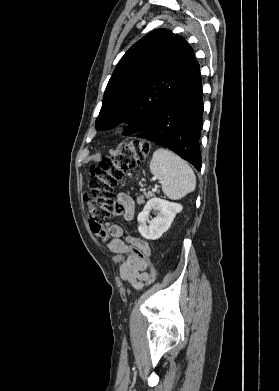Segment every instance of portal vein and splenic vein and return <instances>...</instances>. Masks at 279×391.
Segmentation results:
<instances>
[{"label": "portal vein and splenic vein", "instance_id": "obj_1", "mask_svg": "<svg viewBox=\"0 0 279 391\" xmlns=\"http://www.w3.org/2000/svg\"><path fill=\"white\" fill-rule=\"evenodd\" d=\"M157 187H158V186L156 185L154 190H156V189H157Z\"/></svg>", "mask_w": 279, "mask_h": 391}]
</instances>
